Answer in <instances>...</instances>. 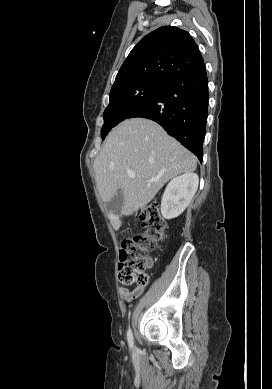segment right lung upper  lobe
<instances>
[{"label": "right lung upper lobe", "instance_id": "obj_1", "mask_svg": "<svg viewBox=\"0 0 272 389\" xmlns=\"http://www.w3.org/2000/svg\"><path fill=\"white\" fill-rule=\"evenodd\" d=\"M203 62L199 48L188 32L163 26L143 37L132 49L111 89L142 80L167 84Z\"/></svg>", "mask_w": 272, "mask_h": 389}]
</instances>
